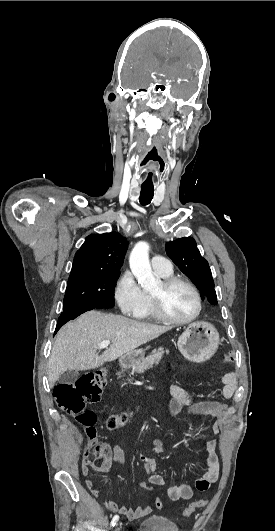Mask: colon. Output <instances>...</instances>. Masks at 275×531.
Returning <instances> with one entry per match:
<instances>
[{
	"label": "colon",
	"instance_id": "obj_1",
	"mask_svg": "<svg viewBox=\"0 0 275 531\" xmlns=\"http://www.w3.org/2000/svg\"><path fill=\"white\" fill-rule=\"evenodd\" d=\"M224 362L233 363L235 352L228 350L224 353ZM107 383L106 370H97L95 372H86L77 380L59 382L53 388V397L58 406L66 413L73 415L77 422L84 428L88 439L85 450L84 468L103 471L106 467L105 456L108 451V445L98 438L95 418L97 415L90 409H86L89 403L97 402L100 399L102 388ZM128 418L125 414L112 415L106 421V427L109 430H116L127 424ZM91 488L92 480H87ZM144 490H150L148 483L142 485ZM208 500L206 498L198 499L189 504L185 514H190L196 510L204 508ZM162 508V502L157 501L155 510Z\"/></svg>",
	"mask_w": 275,
	"mask_h": 531
}]
</instances>
